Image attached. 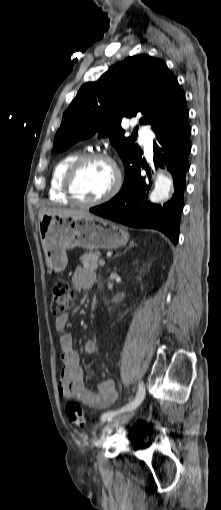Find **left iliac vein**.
Instances as JSON below:
<instances>
[{
	"label": "left iliac vein",
	"instance_id": "obj_1",
	"mask_svg": "<svg viewBox=\"0 0 221 510\" xmlns=\"http://www.w3.org/2000/svg\"><path fill=\"white\" fill-rule=\"evenodd\" d=\"M143 389H145L144 385L142 383H139L138 392L142 391ZM133 416L134 412L129 411L123 415H119L113 418L105 425L103 429V435L109 436L115 428H118L119 426L126 424Z\"/></svg>",
	"mask_w": 221,
	"mask_h": 510
}]
</instances>
